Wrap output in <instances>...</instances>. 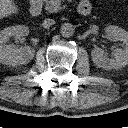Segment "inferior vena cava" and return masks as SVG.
Here are the masks:
<instances>
[{
  "label": "inferior vena cava",
  "instance_id": "602c4592",
  "mask_svg": "<svg viewBox=\"0 0 128 128\" xmlns=\"http://www.w3.org/2000/svg\"><path fill=\"white\" fill-rule=\"evenodd\" d=\"M54 24H55V21L53 19L48 18V19H45L43 21V24L42 25H43L44 28H50Z\"/></svg>",
  "mask_w": 128,
  "mask_h": 128
}]
</instances>
